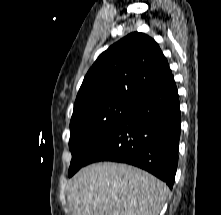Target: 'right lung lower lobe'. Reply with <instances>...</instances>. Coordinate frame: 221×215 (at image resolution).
Here are the masks:
<instances>
[{
  "label": "right lung lower lobe",
  "instance_id": "1",
  "mask_svg": "<svg viewBox=\"0 0 221 215\" xmlns=\"http://www.w3.org/2000/svg\"><path fill=\"white\" fill-rule=\"evenodd\" d=\"M180 103L173 80L133 103L90 155L87 164L122 162L142 168L172 189L178 163Z\"/></svg>",
  "mask_w": 221,
  "mask_h": 215
}]
</instances>
